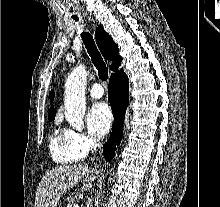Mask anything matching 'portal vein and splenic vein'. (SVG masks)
<instances>
[{"mask_svg":"<svg viewBox=\"0 0 220 207\" xmlns=\"http://www.w3.org/2000/svg\"><path fill=\"white\" fill-rule=\"evenodd\" d=\"M74 207H79V205H77V204H74Z\"/></svg>","mask_w":220,"mask_h":207,"instance_id":"18ae733b","label":"portal vein and splenic vein"}]
</instances>
